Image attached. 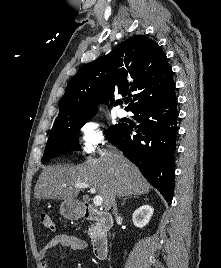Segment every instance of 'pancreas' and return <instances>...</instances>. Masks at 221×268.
Wrapping results in <instances>:
<instances>
[{
  "mask_svg": "<svg viewBox=\"0 0 221 268\" xmlns=\"http://www.w3.org/2000/svg\"><path fill=\"white\" fill-rule=\"evenodd\" d=\"M100 229V224L96 223L95 225H91L88 229V234L90 239L93 241L97 237Z\"/></svg>",
  "mask_w": 221,
  "mask_h": 268,
  "instance_id": "1",
  "label": "pancreas"
}]
</instances>
